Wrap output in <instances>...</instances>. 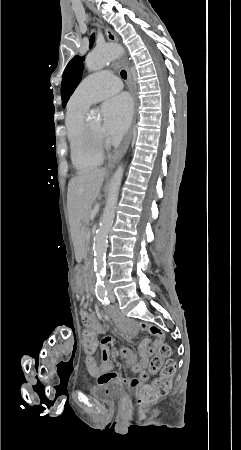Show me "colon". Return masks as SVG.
<instances>
[{"label": "colon", "instance_id": "5ec220e1", "mask_svg": "<svg viewBox=\"0 0 241 450\" xmlns=\"http://www.w3.org/2000/svg\"><path fill=\"white\" fill-rule=\"evenodd\" d=\"M98 341L90 332L79 333V347L84 348L86 355L93 353V348L97 347ZM170 355V349L167 345H161L157 354L153 357V370L157 372L161 368L162 361ZM175 363L172 360L167 361L166 366L162 368V375L155 379L151 384L142 386L137 396V406L143 407L159 401L166 395L170 388V375L175 370Z\"/></svg>", "mask_w": 241, "mask_h": 450}]
</instances>
